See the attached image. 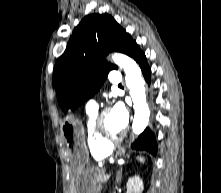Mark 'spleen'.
<instances>
[{
    "label": "spleen",
    "mask_w": 221,
    "mask_h": 193,
    "mask_svg": "<svg viewBox=\"0 0 221 193\" xmlns=\"http://www.w3.org/2000/svg\"><path fill=\"white\" fill-rule=\"evenodd\" d=\"M137 159H138L140 162H144V160H145L143 157H138Z\"/></svg>",
    "instance_id": "3e777b00"
}]
</instances>
